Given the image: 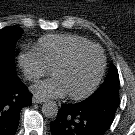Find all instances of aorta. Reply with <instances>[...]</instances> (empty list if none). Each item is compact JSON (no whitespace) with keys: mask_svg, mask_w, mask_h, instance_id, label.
Here are the masks:
<instances>
[{"mask_svg":"<svg viewBox=\"0 0 135 135\" xmlns=\"http://www.w3.org/2000/svg\"><path fill=\"white\" fill-rule=\"evenodd\" d=\"M42 113L47 118H54L58 113V106L54 101H48L42 106Z\"/></svg>","mask_w":135,"mask_h":135,"instance_id":"obj_1","label":"aorta"}]
</instances>
